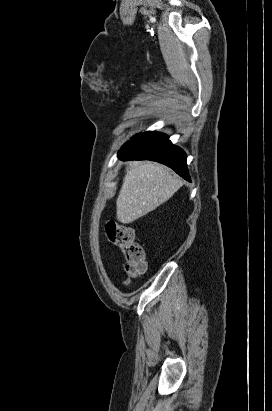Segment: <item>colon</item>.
<instances>
[{
  "instance_id": "obj_1",
  "label": "colon",
  "mask_w": 272,
  "mask_h": 411,
  "mask_svg": "<svg viewBox=\"0 0 272 411\" xmlns=\"http://www.w3.org/2000/svg\"><path fill=\"white\" fill-rule=\"evenodd\" d=\"M106 234L111 243L120 247L125 256L126 282L144 274L146 270V255L142 245L137 241L135 230L128 225L109 221Z\"/></svg>"
}]
</instances>
